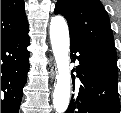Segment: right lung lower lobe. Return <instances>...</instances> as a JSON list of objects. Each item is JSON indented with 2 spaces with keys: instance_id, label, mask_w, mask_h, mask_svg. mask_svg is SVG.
Listing matches in <instances>:
<instances>
[{
  "instance_id": "1",
  "label": "right lung lower lobe",
  "mask_w": 121,
  "mask_h": 113,
  "mask_svg": "<svg viewBox=\"0 0 121 113\" xmlns=\"http://www.w3.org/2000/svg\"><path fill=\"white\" fill-rule=\"evenodd\" d=\"M28 28L1 41V113H18L29 71Z\"/></svg>"
}]
</instances>
